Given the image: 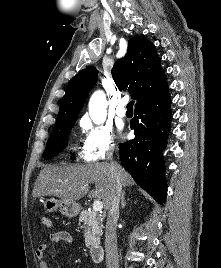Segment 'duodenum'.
I'll return each mask as SVG.
<instances>
[{
  "mask_svg": "<svg viewBox=\"0 0 221 268\" xmlns=\"http://www.w3.org/2000/svg\"><path fill=\"white\" fill-rule=\"evenodd\" d=\"M90 257L93 262H101L104 259V248L100 244H95L90 248Z\"/></svg>",
  "mask_w": 221,
  "mask_h": 268,
  "instance_id": "duodenum-1",
  "label": "duodenum"
}]
</instances>
